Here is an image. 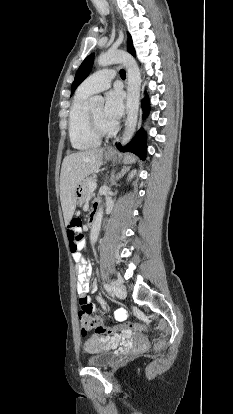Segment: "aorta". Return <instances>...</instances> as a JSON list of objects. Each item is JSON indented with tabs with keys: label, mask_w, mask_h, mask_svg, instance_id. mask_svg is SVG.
<instances>
[{
	"label": "aorta",
	"mask_w": 233,
	"mask_h": 414,
	"mask_svg": "<svg viewBox=\"0 0 233 414\" xmlns=\"http://www.w3.org/2000/svg\"><path fill=\"white\" fill-rule=\"evenodd\" d=\"M97 63L101 67L121 63L127 70V119L125 123L124 133L121 139V144L125 146L131 140L137 125L141 86V74L139 67L135 59L129 53L121 50H109L108 52L101 54L97 59ZM89 103L91 105H103L104 99L98 95L93 96L90 98ZM102 217L103 207L100 206L95 213L91 227V244H95L98 239Z\"/></svg>",
	"instance_id": "1"
}]
</instances>
